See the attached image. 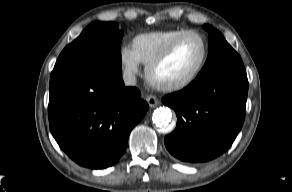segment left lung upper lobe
I'll list each match as a JSON object with an SVG mask.
<instances>
[{
	"label": "left lung upper lobe",
	"instance_id": "1",
	"mask_svg": "<svg viewBox=\"0 0 292 192\" xmlns=\"http://www.w3.org/2000/svg\"><path fill=\"white\" fill-rule=\"evenodd\" d=\"M203 27L209 32V54L197 78L225 71H245L240 56L222 34L207 24Z\"/></svg>",
	"mask_w": 292,
	"mask_h": 192
}]
</instances>
